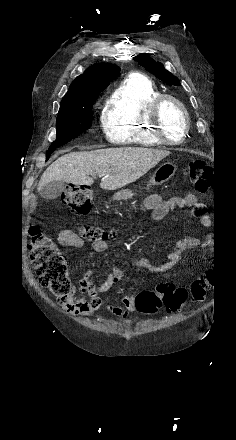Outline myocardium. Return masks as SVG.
<instances>
[{
  "mask_svg": "<svg viewBox=\"0 0 236 440\" xmlns=\"http://www.w3.org/2000/svg\"><path fill=\"white\" fill-rule=\"evenodd\" d=\"M168 102L174 103L181 111L184 119V130L180 139H172L170 138L166 131L164 130L163 121H162V109L164 105ZM148 118L152 125L153 134L155 137L160 140L163 144L166 145H177L183 143L189 132L190 127V117L188 110L181 100L176 98L170 94H161L159 95L150 105Z\"/></svg>",
  "mask_w": 236,
  "mask_h": 440,
  "instance_id": "myocardium-1",
  "label": "myocardium"
}]
</instances>
